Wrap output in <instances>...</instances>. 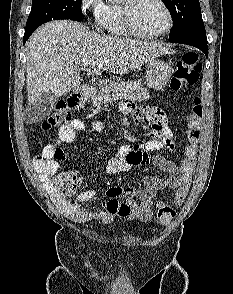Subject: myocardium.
I'll return each instance as SVG.
<instances>
[{
	"mask_svg": "<svg viewBox=\"0 0 233 294\" xmlns=\"http://www.w3.org/2000/svg\"><path fill=\"white\" fill-rule=\"evenodd\" d=\"M140 0H124L123 3V15H124V21H125V25L128 29V31L137 37L140 38H144V39H155V38H159L162 37L164 35H166L168 32H170V30L173 27V15L171 12V9L169 8V6L167 5V3L164 0H156L164 9L166 15H167V26L160 32L158 33H154V34H149V33H145L143 31H141L135 21V7L138 4Z\"/></svg>",
	"mask_w": 233,
	"mask_h": 294,
	"instance_id": "f54148a6",
	"label": "myocardium"
}]
</instances>
